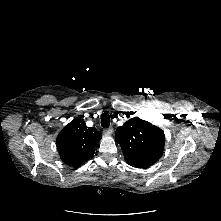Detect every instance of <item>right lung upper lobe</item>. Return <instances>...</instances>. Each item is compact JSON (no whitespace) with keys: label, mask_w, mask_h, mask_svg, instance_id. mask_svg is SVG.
<instances>
[{"label":"right lung upper lobe","mask_w":221,"mask_h":221,"mask_svg":"<svg viewBox=\"0 0 221 221\" xmlns=\"http://www.w3.org/2000/svg\"><path fill=\"white\" fill-rule=\"evenodd\" d=\"M102 135L94 127H87L80 118L73 119L57 136L56 146L64 163L84 164L91 156Z\"/></svg>","instance_id":"1"}]
</instances>
